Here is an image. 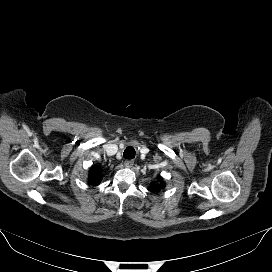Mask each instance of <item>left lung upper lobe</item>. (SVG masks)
<instances>
[{"mask_svg":"<svg viewBox=\"0 0 272 272\" xmlns=\"http://www.w3.org/2000/svg\"><path fill=\"white\" fill-rule=\"evenodd\" d=\"M163 179L161 177L158 178V183H152L150 186V190L152 192H158L160 189L165 187V183L162 181Z\"/></svg>","mask_w":272,"mask_h":272,"instance_id":"left-lung-upper-lobe-1","label":"left lung upper lobe"}]
</instances>
